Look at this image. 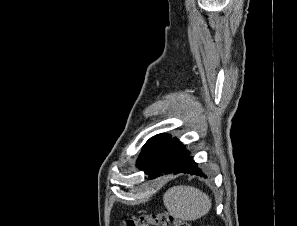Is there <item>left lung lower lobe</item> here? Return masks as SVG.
<instances>
[{"label": "left lung lower lobe", "mask_w": 297, "mask_h": 226, "mask_svg": "<svg viewBox=\"0 0 297 226\" xmlns=\"http://www.w3.org/2000/svg\"><path fill=\"white\" fill-rule=\"evenodd\" d=\"M181 144L176 138L172 139L162 157L149 174V179L159 177L162 173L177 174L179 172L206 178V175L198 169L197 163L194 162L192 157L189 156V152Z\"/></svg>", "instance_id": "left-lung-lower-lobe-1"}]
</instances>
